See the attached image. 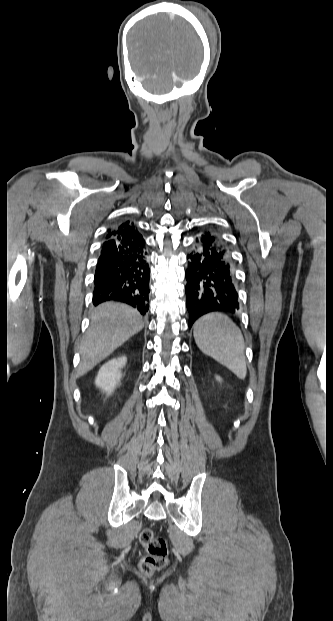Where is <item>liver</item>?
<instances>
[{
  "mask_svg": "<svg viewBox=\"0 0 333 621\" xmlns=\"http://www.w3.org/2000/svg\"><path fill=\"white\" fill-rule=\"evenodd\" d=\"M90 319L91 326L79 347V375L93 369L144 328L142 316L136 309L115 302H106L96 307Z\"/></svg>",
  "mask_w": 333,
  "mask_h": 621,
  "instance_id": "liver-1",
  "label": "liver"
}]
</instances>
